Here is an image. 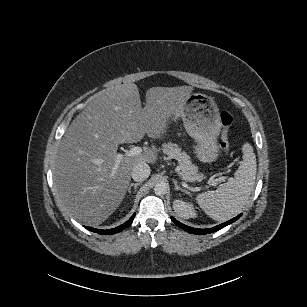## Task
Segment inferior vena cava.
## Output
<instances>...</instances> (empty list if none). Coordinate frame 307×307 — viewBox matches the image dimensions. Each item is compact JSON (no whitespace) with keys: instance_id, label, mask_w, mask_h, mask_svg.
<instances>
[{"instance_id":"inferior-vena-cava-1","label":"inferior vena cava","mask_w":307,"mask_h":307,"mask_svg":"<svg viewBox=\"0 0 307 307\" xmlns=\"http://www.w3.org/2000/svg\"><path fill=\"white\" fill-rule=\"evenodd\" d=\"M131 175L135 181L141 182L150 175V167L143 161L138 162L134 165Z\"/></svg>"}]
</instances>
